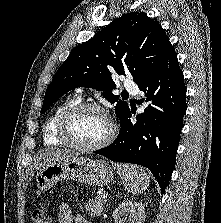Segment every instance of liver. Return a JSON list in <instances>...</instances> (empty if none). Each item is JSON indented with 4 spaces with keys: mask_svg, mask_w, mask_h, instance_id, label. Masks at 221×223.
Masks as SVG:
<instances>
[{
    "mask_svg": "<svg viewBox=\"0 0 221 223\" xmlns=\"http://www.w3.org/2000/svg\"><path fill=\"white\" fill-rule=\"evenodd\" d=\"M77 153H75L72 150L69 149H53V150H48L45 152H41L36 159V168H38L39 166H42L46 163H50L62 158H68V157H72L74 155H76Z\"/></svg>",
    "mask_w": 221,
    "mask_h": 223,
    "instance_id": "1",
    "label": "liver"
}]
</instances>
